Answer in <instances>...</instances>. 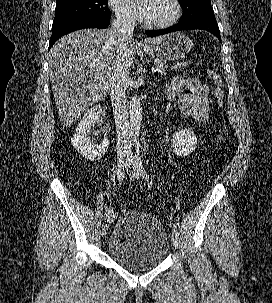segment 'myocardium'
<instances>
[{
    "label": "myocardium",
    "instance_id": "myocardium-1",
    "mask_svg": "<svg viewBox=\"0 0 272 303\" xmlns=\"http://www.w3.org/2000/svg\"><path fill=\"white\" fill-rule=\"evenodd\" d=\"M171 3L174 8V12H173V15L171 16V18H169L166 21L157 22V23H153V22H149V21L145 20V26L148 28H152V29H165V28H169V27L173 26L181 17L182 6H181L179 0H171Z\"/></svg>",
    "mask_w": 272,
    "mask_h": 303
}]
</instances>
